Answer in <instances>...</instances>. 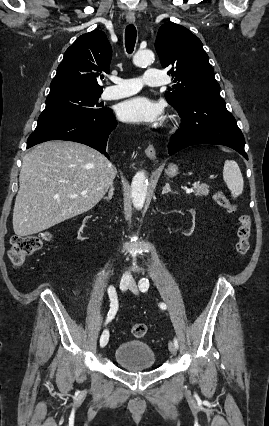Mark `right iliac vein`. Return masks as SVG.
I'll return each mask as SVG.
<instances>
[{"label":"right iliac vein","instance_id":"obj_1","mask_svg":"<svg viewBox=\"0 0 269 426\" xmlns=\"http://www.w3.org/2000/svg\"><path fill=\"white\" fill-rule=\"evenodd\" d=\"M130 284V280L127 277H123L120 281V289L125 291ZM109 341V331L108 329L103 330L100 337V347L104 348Z\"/></svg>","mask_w":269,"mask_h":426}]
</instances>
